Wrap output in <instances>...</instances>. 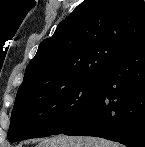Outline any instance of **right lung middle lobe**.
Segmentation results:
<instances>
[{
    "label": "right lung middle lobe",
    "mask_w": 145,
    "mask_h": 147,
    "mask_svg": "<svg viewBox=\"0 0 145 147\" xmlns=\"http://www.w3.org/2000/svg\"><path fill=\"white\" fill-rule=\"evenodd\" d=\"M101 73L90 74L53 91L32 90L16 96L8 138L11 142L61 134L96 96Z\"/></svg>",
    "instance_id": "right-lung-middle-lobe-1"
}]
</instances>
